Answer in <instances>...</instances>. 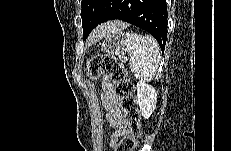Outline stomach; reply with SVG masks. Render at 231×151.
<instances>
[{
  "label": "stomach",
  "mask_w": 231,
  "mask_h": 151,
  "mask_svg": "<svg viewBox=\"0 0 231 151\" xmlns=\"http://www.w3.org/2000/svg\"><path fill=\"white\" fill-rule=\"evenodd\" d=\"M126 35L122 31L107 34L101 44V50L111 55L123 54L125 51Z\"/></svg>",
  "instance_id": "0dacf381"
}]
</instances>
